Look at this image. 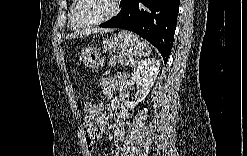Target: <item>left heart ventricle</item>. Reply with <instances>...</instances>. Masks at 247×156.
I'll return each instance as SVG.
<instances>
[{
    "label": "left heart ventricle",
    "instance_id": "b2bd125f",
    "mask_svg": "<svg viewBox=\"0 0 247 156\" xmlns=\"http://www.w3.org/2000/svg\"><path fill=\"white\" fill-rule=\"evenodd\" d=\"M111 5L110 0H83L76 11V21L82 24L93 22L109 13Z\"/></svg>",
    "mask_w": 247,
    "mask_h": 156
}]
</instances>
